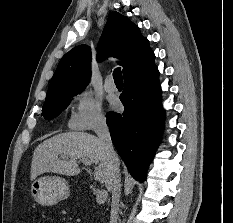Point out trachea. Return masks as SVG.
Listing matches in <instances>:
<instances>
[{
    "mask_svg": "<svg viewBox=\"0 0 233 223\" xmlns=\"http://www.w3.org/2000/svg\"><path fill=\"white\" fill-rule=\"evenodd\" d=\"M113 78L115 83H123L122 72L120 68H116L113 72Z\"/></svg>",
    "mask_w": 233,
    "mask_h": 223,
    "instance_id": "trachea-1",
    "label": "trachea"
}]
</instances>
